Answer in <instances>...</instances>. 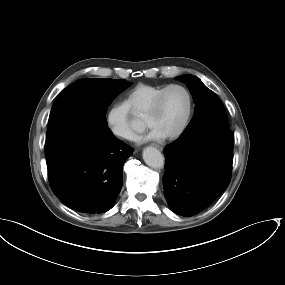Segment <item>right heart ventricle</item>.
I'll use <instances>...</instances> for the list:
<instances>
[{
    "label": "right heart ventricle",
    "mask_w": 285,
    "mask_h": 285,
    "mask_svg": "<svg viewBox=\"0 0 285 285\" xmlns=\"http://www.w3.org/2000/svg\"><path fill=\"white\" fill-rule=\"evenodd\" d=\"M165 85L140 83L133 87L124 97L123 105L132 116H144L150 104Z\"/></svg>",
    "instance_id": "e07e8e85"
}]
</instances>
